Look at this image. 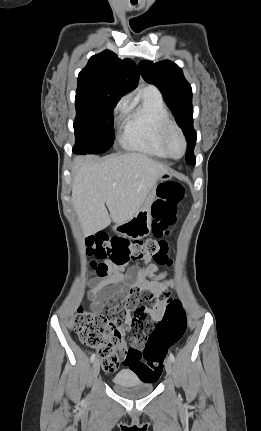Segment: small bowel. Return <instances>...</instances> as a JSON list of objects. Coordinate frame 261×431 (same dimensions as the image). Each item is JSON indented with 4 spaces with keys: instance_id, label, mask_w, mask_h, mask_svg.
<instances>
[{
    "instance_id": "1",
    "label": "small bowel",
    "mask_w": 261,
    "mask_h": 431,
    "mask_svg": "<svg viewBox=\"0 0 261 431\" xmlns=\"http://www.w3.org/2000/svg\"><path fill=\"white\" fill-rule=\"evenodd\" d=\"M146 258L145 261H149ZM157 263H150L145 267L131 266L127 272L113 264H108L105 275L92 281L88 292L91 307L94 312L104 309V301L111 305L123 304L125 310L120 311L121 318L119 331L129 333L132 336V349H139L147 343L149 336L153 335L154 326L149 324L150 315L155 322L163 318L165 305L162 302L155 304L158 299L156 294L172 284L165 279V273L155 275ZM151 301V302H150ZM117 312L110 316L117 317ZM130 316H135L131 317ZM128 358L125 357V362Z\"/></svg>"
}]
</instances>
